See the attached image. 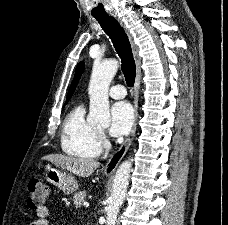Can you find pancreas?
<instances>
[{
    "label": "pancreas",
    "instance_id": "cf45deb5",
    "mask_svg": "<svg viewBox=\"0 0 228 225\" xmlns=\"http://www.w3.org/2000/svg\"><path fill=\"white\" fill-rule=\"evenodd\" d=\"M85 197H86V191H79V193H75L73 197L74 205H77V207H81L82 203H84Z\"/></svg>",
    "mask_w": 228,
    "mask_h": 225
}]
</instances>
